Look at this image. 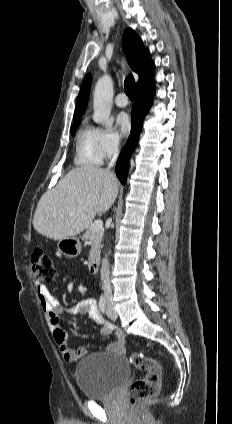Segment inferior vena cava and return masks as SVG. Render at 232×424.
<instances>
[{
    "mask_svg": "<svg viewBox=\"0 0 232 424\" xmlns=\"http://www.w3.org/2000/svg\"><path fill=\"white\" fill-rule=\"evenodd\" d=\"M112 150H113V158L111 159L107 171L113 176V173L110 171V168L113 167L115 164L117 157L119 155V141L114 140L112 142ZM101 281H102V289L104 291V296L106 300L112 299V289H111V282H110V272H109V265L107 258H104L102 261V267H101Z\"/></svg>",
    "mask_w": 232,
    "mask_h": 424,
    "instance_id": "inferior-vena-cava-1",
    "label": "inferior vena cava"
}]
</instances>
